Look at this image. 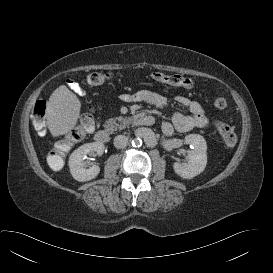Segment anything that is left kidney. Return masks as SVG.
Wrapping results in <instances>:
<instances>
[{
	"label": "left kidney",
	"mask_w": 273,
	"mask_h": 273,
	"mask_svg": "<svg viewBox=\"0 0 273 273\" xmlns=\"http://www.w3.org/2000/svg\"><path fill=\"white\" fill-rule=\"evenodd\" d=\"M184 142L193 146V150L188 151V162L173 164V169L177 175L183 179H192L202 173L207 164V145L203 136L199 134H189Z\"/></svg>",
	"instance_id": "1"
}]
</instances>
